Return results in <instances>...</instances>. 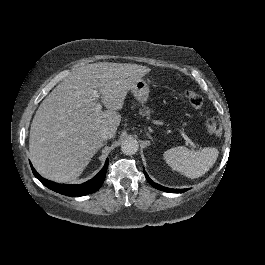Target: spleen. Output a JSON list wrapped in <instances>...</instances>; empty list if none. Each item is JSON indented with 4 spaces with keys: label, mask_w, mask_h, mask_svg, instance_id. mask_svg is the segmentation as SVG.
<instances>
[{
    "label": "spleen",
    "mask_w": 265,
    "mask_h": 265,
    "mask_svg": "<svg viewBox=\"0 0 265 265\" xmlns=\"http://www.w3.org/2000/svg\"><path fill=\"white\" fill-rule=\"evenodd\" d=\"M218 154L216 148L206 147L202 151H194L184 146H178L167 150L163 156L173 170L195 179L209 171L216 162Z\"/></svg>",
    "instance_id": "3e777b00"
}]
</instances>
